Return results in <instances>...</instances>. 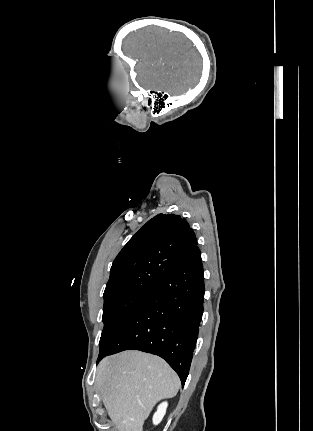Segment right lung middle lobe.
Instances as JSON below:
<instances>
[{
  "mask_svg": "<svg viewBox=\"0 0 313 431\" xmlns=\"http://www.w3.org/2000/svg\"><path fill=\"white\" fill-rule=\"evenodd\" d=\"M152 290H129L104 296V328L99 343L100 349Z\"/></svg>",
  "mask_w": 313,
  "mask_h": 431,
  "instance_id": "1",
  "label": "right lung middle lobe"
}]
</instances>
